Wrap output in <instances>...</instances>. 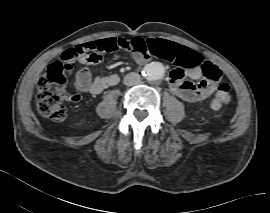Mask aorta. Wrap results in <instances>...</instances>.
<instances>
[{"instance_id": "762f6f07", "label": "aorta", "mask_w": 270, "mask_h": 213, "mask_svg": "<svg viewBox=\"0 0 270 213\" xmlns=\"http://www.w3.org/2000/svg\"><path fill=\"white\" fill-rule=\"evenodd\" d=\"M143 75L149 81L161 80L165 75V67L160 62H151L144 67Z\"/></svg>"}]
</instances>
